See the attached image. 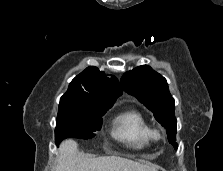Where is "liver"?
I'll use <instances>...</instances> for the list:
<instances>
[{
  "label": "liver",
  "instance_id": "1",
  "mask_svg": "<svg viewBox=\"0 0 223 171\" xmlns=\"http://www.w3.org/2000/svg\"><path fill=\"white\" fill-rule=\"evenodd\" d=\"M54 171H158V167L117 156L89 158L79 152L74 140L68 139L59 146V156Z\"/></svg>",
  "mask_w": 223,
  "mask_h": 171
}]
</instances>
